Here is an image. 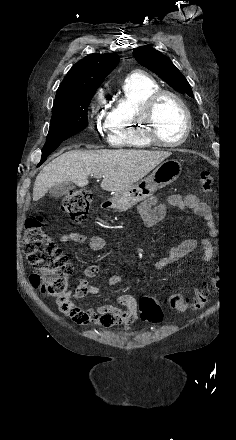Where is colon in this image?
Here are the masks:
<instances>
[{"mask_svg":"<svg viewBox=\"0 0 236 440\" xmlns=\"http://www.w3.org/2000/svg\"><path fill=\"white\" fill-rule=\"evenodd\" d=\"M213 186L211 170L204 168L200 174V187L203 191H211ZM91 193L87 190H76L67 193L62 200V208L75 223L83 222L90 209ZM41 217H31L26 221L23 236V250L28 263L36 269L30 276L31 284L42 293L54 297L61 311H67L72 301L68 290V279L73 267L67 256L59 248L54 239L43 231ZM222 273L211 279L214 285L224 281ZM209 290L199 288L192 298L175 294L170 298V307L178 313L196 311L205 306ZM142 320L159 324L163 320V311L157 300L142 297L138 302Z\"/></svg>","mask_w":236,"mask_h":440,"instance_id":"obj_1","label":"colon"}]
</instances>
